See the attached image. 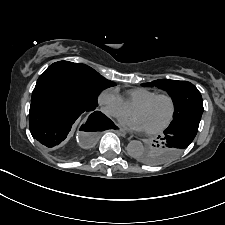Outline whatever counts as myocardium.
<instances>
[{
	"label": "myocardium",
	"instance_id": "1",
	"mask_svg": "<svg viewBox=\"0 0 225 225\" xmlns=\"http://www.w3.org/2000/svg\"><path fill=\"white\" fill-rule=\"evenodd\" d=\"M160 98H165L170 102V106H171L170 115H169L168 119L166 120V122L163 123L161 126L154 128V129L146 130V132L148 134L160 133V132L164 131L165 129H167L171 125V123L174 120L175 114H176V102H175L174 98L169 94L157 93V94L151 96L150 98L134 105V107H146V106L150 105L152 102H154L155 100L160 99Z\"/></svg>",
	"mask_w": 225,
	"mask_h": 225
}]
</instances>
